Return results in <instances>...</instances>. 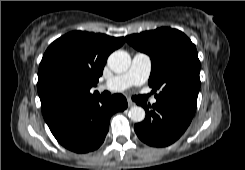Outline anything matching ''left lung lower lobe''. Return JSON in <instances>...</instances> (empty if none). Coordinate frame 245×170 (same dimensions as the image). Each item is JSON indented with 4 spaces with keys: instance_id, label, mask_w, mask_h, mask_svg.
I'll list each match as a JSON object with an SVG mask.
<instances>
[{
    "instance_id": "1",
    "label": "left lung lower lobe",
    "mask_w": 245,
    "mask_h": 170,
    "mask_svg": "<svg viewBox=\"0 0 245 170\" xmlns=\"http://www.w3.org/2000/svg\"><path fill=\"white\" fill-rule=\"evenodd\" d=\"M146 110L145 120L135 124L137 136L146 144L164 147L175 142L189 126L196 108L176 101H158Z\"/></svg>"
}]
</instances>
